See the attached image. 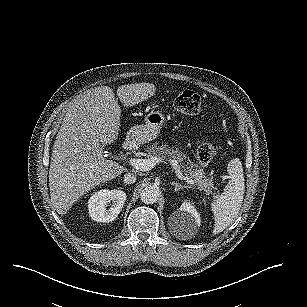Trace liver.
I'll use <instances>...</instances> for the list:
<instances>
[{
	"mask_svg": "<svg viewBox=\"0 0 307 307\" xmlns=\"http://www.w3.org/2000/svg\"><path fill=\"white\" fill-rule=\"evenodd\" d=\"M151 83L121 85L116 93L124 106L154 96ZM121 108L109 86L95 87L69 105L52 148L49 190L52 206L65 215L73 204L96 186L127 172L107 160L102 147L114 143L120 131Z\"/></svg>",
	"mask_w": 307,
	"mask_h": 307,
	"instance_id": "6515ba94",
	"label": "liver"
}]
</instances>
